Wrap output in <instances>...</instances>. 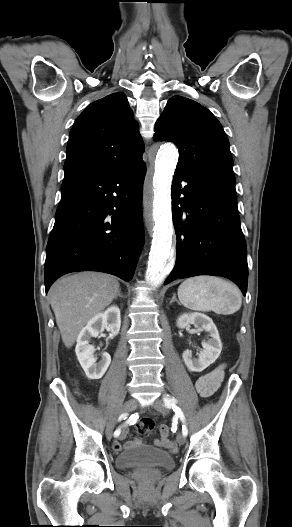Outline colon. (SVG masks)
I'll return each mask as SVG.
<instances>
[{"instance_id": "1", "label": "colon", "mask_w": 292, "mask_h": 527, "mask_svg": "<svg viewBox=\"0 0 292 527\" xmlns=\"http://www.w3.org/2000/svg\"><path fill=\"white\" fill-rule=\"evenodd\" d=\"M154 428V421L150 418L141 419L137 423V429L140 433H148Z\"/></svg>"}]
</instances>
